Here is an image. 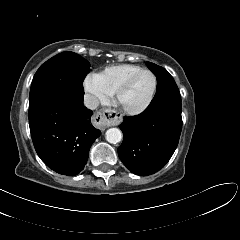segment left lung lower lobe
Returning <instances> with one entry per match:
<instances>
[{"mask_svg":"<svg viewBox=\"0 0 240 240\" xmlns=\"http://www.w3.org/2000/svg\"><path fill=\"white\" fill-rule=\"evenodd\" d=\"M181 112V100L167 99L151 102L139 115L124 117L118 155L132 173L154 174L170 160L181 134Z\"/></svg>","mask_w":240,"mask_h":240,"instance_id":"obj_1","label":"left lung lower lobe"}]
</instances>
